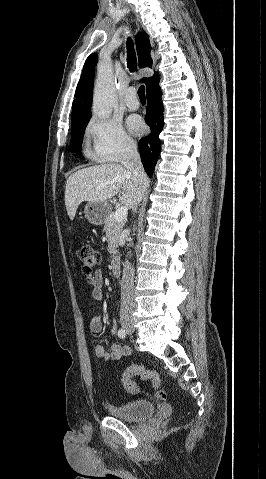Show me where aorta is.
<instances>
[{"instance_id": "obj_1", "label": "aorta", "mask_w": 266, "mask_h": 479, "mask_svg": "<svg viewBox=\"0 0 266 479\" xmlns=\"http://www.w3.org/2000/svg\"><path fill=\"white\" fill-rule=\"evenodd\" d=\"M117 101L112 68L108 63L100 65L94 88L92 111L95 117L107 119Z\"/></svg>"}]
</instances>
